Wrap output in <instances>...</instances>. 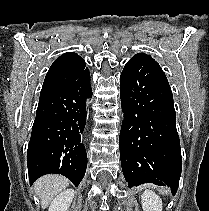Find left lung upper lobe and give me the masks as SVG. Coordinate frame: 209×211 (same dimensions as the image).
Masks as SVG:
<instances>
[{
	"mask_svg": "<svg viewBox=\"0 0 209 211\" xmlns=\"http://www.w3.org/2000/svg\"><path fill=\"white\" fill-rule=\"evenodd\" d=\"M140 54H142V55H144V56H146V57L152 59L149 55H146V54H144V53H140ZM152 60L155 61L154 59H152Z\"/></svg>",
	"mask_w": 209,
	"mask_h": 211,
	"instance_id": "left-lung-upper-lobe-1",
	"label": "left lung upper lobe"
}]
</instances>
